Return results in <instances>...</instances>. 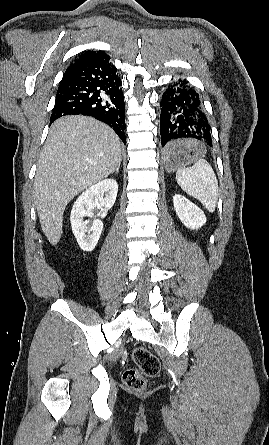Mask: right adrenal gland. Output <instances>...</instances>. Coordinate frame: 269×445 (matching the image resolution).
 <instances>
[{
	"mask_svg": "<svg viewBox=\"0 0 269 445\" xmlns=\"http://www.w3.org/2000/svg\"><path fill=\"white\" fill-rule=\"evenodd\" d=\"M119 169H120V164L118 165V167L116 168V170L113 171L112 173L116 172V174H118V173H119Z\"/></svg>",
	"mask_w": 269,
	"mask_h": 445,
	"instance_id": "obj_1",
	"label": "right adrenal gland"
}]
</instances>
